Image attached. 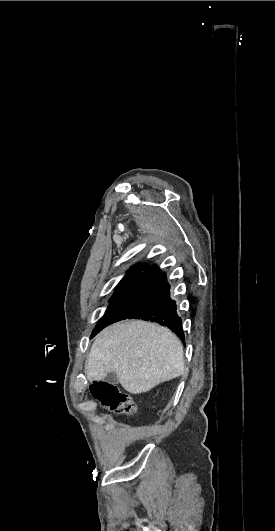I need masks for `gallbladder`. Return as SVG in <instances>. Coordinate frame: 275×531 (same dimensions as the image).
Masks as SVG:
<instances>
[{"instance_id": "1", "label": "gallbladder", "mask_w": 275, "mask_h": 531, "mask_svg": "<svg viewBox=\"0 0 275 531\" xmlns=\"http://www.w3.org/2000/svg\"><path fill=\"white\" fill-rule=\"evenodd\" d=\"M105 381L106 383H109V385H118L119 383V379L115 373H110V375H107V377H105Z\"/></svg>"}]
</instances>
